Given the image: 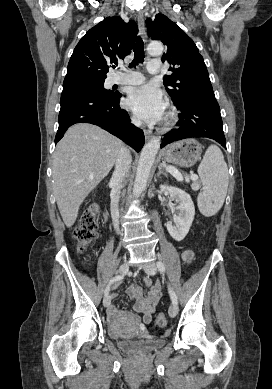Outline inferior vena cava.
Listing matches in <instances>:
<instances>
[{"mask_svg":"<svg viewBox=\"0 0 272 389\" xmlns=\"http://www.w3.org/2000/svg\"><path fill=\"white\" fill-rule=\"evenodd\" d=\"M132 123L136 126H140L141 122L132 119ZM131 155L130 152L122 146L119 150V153L116 158L115 162V169L113 172V175L110 179V187H111V216L112 221L115 229L119 230V210H118V202H119V195H120V189L122 186V182L124 180L125 175L128 173L130 167H131Z\"/></svg>","mask_w":272,"mask_h":389,"instance_id":"602c4592","label":"inferior vena cava"}]
</instances>
